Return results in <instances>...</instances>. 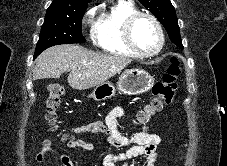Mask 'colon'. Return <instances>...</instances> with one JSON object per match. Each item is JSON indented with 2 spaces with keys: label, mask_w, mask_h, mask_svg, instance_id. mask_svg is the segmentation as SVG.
<instances>
[{
  "label": "colon",
  "mask_w": 227,
  "mask_h": 166,
  "mask_svg": "<svg viewBox=\"0 0 227 166\" xmlns=\"http://www.w3.org/2000/svg\"><path fill=\"white\" fill-rule=\"evenodd\" d=\"M180 74L179 62L173 58L171 65L163 75L161 81L155 83L152 87V94L148 103L137 113L136 120L139 123H146L150 117L161 112L165 105L174 101L177 94V78ZM47 111L45 118L50 125L57 122V111L60 105V98L65 93V86L57 81L48 84ZM61 138L68 144L77 139L70 135H62Z\"/></svg>",
  "instance_id": "colon-1"
}]
</instances>
